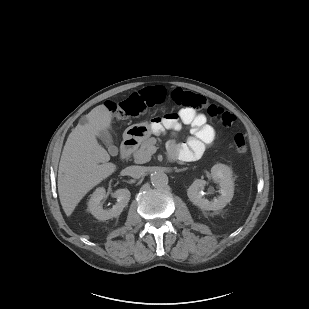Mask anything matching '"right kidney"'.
Wrapping results in <instances>:
<instances>
[{
    "label": "right kidney",
    "instance_id": "1",
    "mask_svg": "<svg viewBox=\"0 0 309 309\" xmlns=\"http://www.w3.org/2000/svg\"><path fill=\"white\" fill-rule=\"evenodd\" d=\"M106 191L103 187H99L92 194L88 209L91 214L98 220H108L117 217L121 214L124 207L127 206L131 193L128 189H118L112 196L117 199V203L109 210H104L102 207V200L106 197Z\"/></svg>",
    "mask_w": 309,
    "mask_h": 309
}]
</instances>
